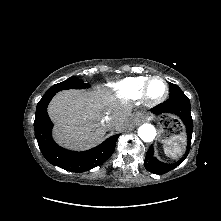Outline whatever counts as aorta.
I'll list each match as a JSON object with an SVG mask.
<instances>
[{
    "instance_id": "1",
    "label": "aorta",
    "mask_w": 221,
    "mask_h": 221,
    "mask_svg": "<svg viewBox=\"0 0 221 221\" xmlns=\"http://www.w3.org/2000/svg\"><path fill=\"white\" fill-rule=\"evenodd\" d=\"M138 136L144 142H151L156 136V129L152 124H142L138 128Z\"/></svg>"
}]
</instances>
